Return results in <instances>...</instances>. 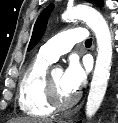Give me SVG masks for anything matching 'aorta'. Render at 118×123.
<instances>
[{
  "label": "aorta",
  "mask_w": 118,
  "mask_h": 123,
  "mask_svg": "<svg viewBox=\"0 0 118 123\" xmlns=\"http://www.w3.org/2000/svg\"><path fill=\"white\" fill-rule=\"evenodd\" d=\"M62 19L64 21L81 19L96 36L98 54L86 103V116L92 117L101 105L110 76L113 54L110 29L104 17L88 6L79 5L68 8L62 14Z\"/></svg>",
  "instance_id": "obj_1"
}]
</instances>
